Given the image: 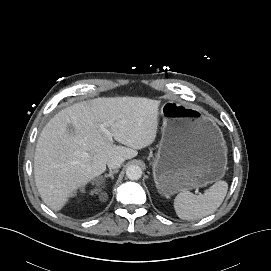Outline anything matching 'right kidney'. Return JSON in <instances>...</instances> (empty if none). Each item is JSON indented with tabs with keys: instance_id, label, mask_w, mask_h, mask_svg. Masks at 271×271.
Wrapping results in <instances>:
<instances>
[{
	"instance_id": "ca27d5eb",
	"label": "right kidney",
	"mask_w": 271,
	"mask_h": 271,
	"mask_svg": "<svg viewBox=\"0 0 271 271\" xmlns=\"http://www.w3.org/2000/svg\"><path fill=\"white\" fill-rule=\"evenodd\" d=\"M92 193H98V189H95L94 191H92Z\"/></svg>"
}]
</instances>
